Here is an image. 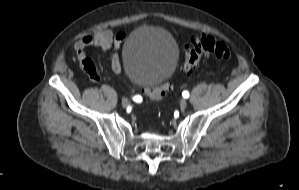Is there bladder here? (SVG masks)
<instances>
[{
	"mask_svg": "<svg viewBox=\"0 0 299 190\" xmlns=\"http://www.w3.org/2000/svg\"><path fill=\"white\" fill-rule=\"evenodd\" d=\"M179 61V50L167 31L141 27L130 34L123 45L122 64L134 83L157 86L169 78Z\"/></svg>",
	"mask_w": 299,
	"mask_h": 190,
	"instance_id": "1",
	"label": "bladder"
}]
</instances>
